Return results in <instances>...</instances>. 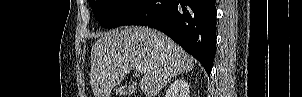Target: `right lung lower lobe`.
Here are the masks:
<instances>
[{
    "label": "right lung lower lobe",
    "mask_w": 302,
    "mask_h": 97,
    "mask_svg": "<svg viewBox=\"0 0 302 97\" xmlns=\"http://www.w3.org/2000/svg\"><path fill=\"white\" fill-rule=\"evenodd\" d=\"M216 0H145L122 23L156 28L198 59L210 75L216 51Z\"/></svg>",
    "instance_id": "1"
}]
</instances>
